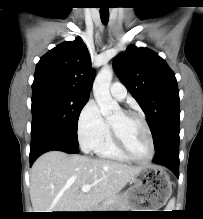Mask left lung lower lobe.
Wrapping results in <instances>:
<instances>
[{
    "label": "left lung lower lobe",
    "instance_id": "0a47b994",
    "mask_svg": "<svg viewBox=\"0 0 203 219\" xmlns=\"http://www.w3.org/2000/svg\"><path fill=\"white\" fill-rule=\"evenodd\" d=\"M179 136L170 138L163 147L156 151L153 162L164 165L179 177Z\"/></svg>",
    "mask_w": 203,
    "mask_h": 219
}]
</instances>
